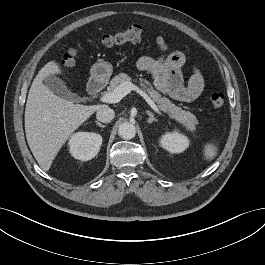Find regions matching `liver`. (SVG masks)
<instances>
[{"label":"liver","mask_w":265,"mask_h":265,"mask_svg":"<svg viewBox=\"0 0 265 265\" xmlns=\"http://www.w3.org/2000/svg\"><path fill=\"white\" fill-rule=\"evenodd\" d=\"M56 61H50L38 72L29 90L25 108V133L38 164L48 171L69 136L103 105L74 104L55 95L43 81L61 74Z\"/></svg>","instance_id":"1"}]
</instances>
